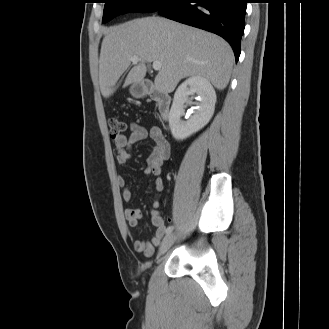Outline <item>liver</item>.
<instances>
[{
	"label": "liver",
	"instance_id": "obj_1",
	"mask_svg": "<svg viewBox=\"0 0 329 329\" xmlns=\"http://www.w3.org/2000/svg\"><path fill=\"white\" fill-rule=\"evenodd\" d=\"M137 56L123 87L141 82L146 63L160 61L155 87L172 92L186 77L200 76L223 90L229 83L234 56L230 45L212 33L160 17L134 19L105 32L99 59V84L105 98Z\"/></svg>",
	"mask_w": 329,
	"mask_h": 329
}]
</instances>
